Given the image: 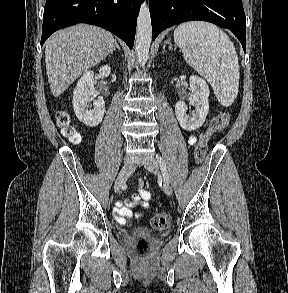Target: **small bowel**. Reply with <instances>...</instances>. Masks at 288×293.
Wrapping results in <instances>:
<instances>
[{
    "label": "small bowel",
    "mask_w": 288,
    "mask_h": 293,
    "mask_svg": "<svg viewBox=\"0 0 288 293\" xmlns=\"http://www.w3.org/2000/svg\"><path fill=\"white\" fill-rule=\"evenodd\" d=\"M196 142V137L195 136H191L189 138V143L191 145H193ZM137 191L136 193L133 195L131 200H128L126 202H119L117 204L116 207V213H117V220L120 223L124 222V216L128 215L132 217V212L130 210L129 207H132L136 204L137 201H141L142 202V206L144 208L148 207V201L150 200V193L148 191H146L145 189H143L141 186L137 185ZM140 216V215H138Z\"/></svg>",
    "instance_id": "1"
}]
</instances>
